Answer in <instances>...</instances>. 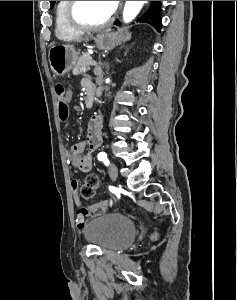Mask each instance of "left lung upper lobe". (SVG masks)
<instances>
[{
    "label": "left lung upper lobe",
    "mask_w": 237,
    "mask_h": 300,
    "mask_svg": "<svg viewBox=\"0 0 237 300\" xmlns=\"http://www.w3.org/2000/svg\"><path fill=\"white\" fill-rule=\"evenodd\" d=\"M56 1H50V7L53 8ZM139 22H147L153 25L157 31H160L162 23H161V15H160V1H152L150 8L148 11L139 19ZM116 24L119 25V22L116 21Z\"/></svg>",
    "instance_id": "5c2ea615"
}]
</instances>
